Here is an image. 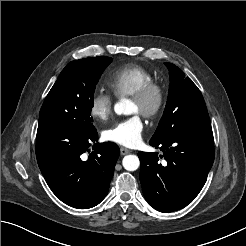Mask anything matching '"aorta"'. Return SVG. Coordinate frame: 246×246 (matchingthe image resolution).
I'll return each instance as SVG.
<instances>
[{"mask_svg": "<svg viewBox=\"0 0 246 246\" xmlns=\"http://www.w3.org/2000/svg\"><path fill=\"white\" fill-rule=\"evenodd\" d=\"M114 111L118 115H130L134 113L135 105L129 99H122L115 104ZM122 164L127 171H135L139 168L140 161L136 155H126L122 160Z\"/></svg>", "mask_w": 246, "mask_h": 246, "instance_id": "762f6f07", "label": "aorta"}]
</instances>
